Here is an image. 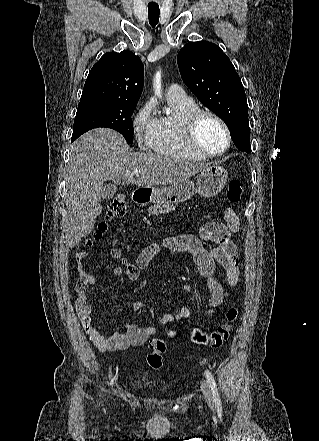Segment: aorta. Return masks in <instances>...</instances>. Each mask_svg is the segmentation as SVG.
<instances>
[{"instance_id": "aorta-1", "label": "aorta", "mask_w": 319, "mask_h": 441, "mask_svg": "<svg viewBox=\"0 0 319 441\" xmlns=\"http://www.w3.org/2000/svg\"><path fill=\"white\" fill-rule=\"evenodd\" d=\"M154 91L155 94L161 96L162 85H161V71H157L154 78ZM166 113L169 114V110H166Z\"/></svg>"}]
</instances>
